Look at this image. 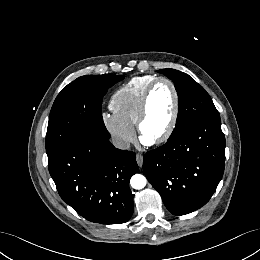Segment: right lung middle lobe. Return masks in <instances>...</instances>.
I'll return each mask as SVG.
<instances>
[{"label": "right lung middle lobe", "instance_id": "right-lung-middle-lobe-1", "mask_svg": "<svg viewBox=\"0 0 260 260\" xmlns=\"http://www.w3.org/2000/svg\"><path fill=\"white\" fill-rule=\"evenodd\" d=\"M123 78L114 74L86 75L59 93L49 116L46 134L48 159L77 138H110L102 118V99L107 90Z\"/></svg>", "mask_w": 260, "mask_h": 260}]
</instances>
